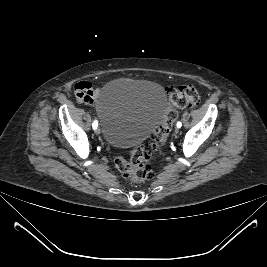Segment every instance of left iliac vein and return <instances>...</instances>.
<instances>
[{"instance_id":"left-iliac-vein-1","label":"left iliac vein","mask_w":267,"mask_h":267,"mask_svg":"<svg viewBox=\"0 0 267 267\" xmlns=\"http://www.w3.org/2000/svg\"><path fill=\"white\" fill-rule=\"evenodd\" d=\"M178 132H179V128L176 127V128H175V133L177 134Z\"/></svg>"}]
</instances>
